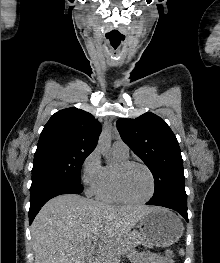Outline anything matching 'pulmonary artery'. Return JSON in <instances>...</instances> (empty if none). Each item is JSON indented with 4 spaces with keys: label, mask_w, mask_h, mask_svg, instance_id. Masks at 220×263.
I'll return each mask as SVG.
<instances>
[{
    "label": "pulmonary artery",
    "mask_w": 220,
    "mask_h": 263,
    "mask_svg": "<svg viewBox=\"0 0 220 263\" xmlns=\"http://www.w3.org/2000/svg\"><path fill=\"white\" fill-rule=\"evenodd\" d=\"M113 150L120 153L123 156H128L129 148L125 142L122 140H117L113 143Z\"/></svg>",
    "instance_id": "1"
}]
</instances>
